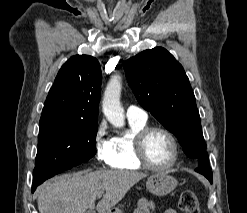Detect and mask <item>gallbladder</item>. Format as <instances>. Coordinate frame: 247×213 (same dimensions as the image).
Returning <instances> with one entry per match:
<instances>
[{
    "mask_svg": "<svg viewBox=\"0 0 247 213\" xmlns=\"http://www.w3.org/2000/svg\"><path fill=\"white\" fill-rule=\"evenodd\" d=\"M86 213H94L92 210H88Z\"/></svg>",
    "mask_w": 247,
    "mask_h": 213,
    "instance_id": "gallbladder-1",
    "label": "gallbladder"
}]
</instances>
